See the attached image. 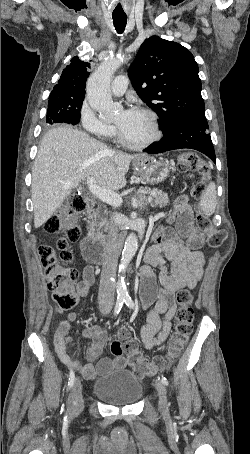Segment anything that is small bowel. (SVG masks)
Segmentation results:
<instances>
[{
  "mask_svg": "<svg viewBox=\"0 0 250 454\" xmlns=\"http://www.w3.org/2000/svg\"><path fill=\"white\" fill-rule=\"evenodd\" d=\"M176 219L177 231L170 227L156 233L153 243L145 253V265L140 269L142 285L140 289L143 310L154 304L147 315V322L141 330L142 343L147 349L162 344L170 334L171 321L176 312L175 293L185 287L194 288L204 269V256L201 249L204 236L193 223L192 210L185 196L179 197L174 204L170 221ZM169 261L168 268L165 261ZM152 267L159 269L158 282ZM95 275L92 266H87L83 279L77 283L76 293L79 298L89 295ZM75 315L70 313L66 319L55 323L54 346L59 359L68 367L77 370L85 379L93 380L108 373L113 367H122L124 360L101 358L107 341V333L97 325L86 327L82 336L92 338V345L86 351V363L72 359L68 344L70 323ZM72 370V369H71Z\"/></svg>",
  "mask_w": 250,
  "mask_h": 454,
  "instance_id": "1",
  "label": "small bowel"
}]
</instances>
